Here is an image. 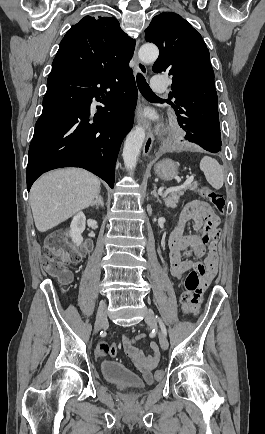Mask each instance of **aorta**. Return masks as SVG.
<instances>
[{
	"mask_svg": "<svg viewBox=\"0 0 265 434\" xmlns=\"http://www.w3.org/2000/svg\"><path fill=\"white\" fill-rule=\"evenodd\" d=\"M139 60L144 64H152L159 56V50L154 44H144L138 52ZM145 138L144 128L136 126L126 138L123 148V160L126 168L134 170Z\"/></svg>",
	"mask_w": 265,
	"mask_h": 434,
	"instance_id": "obj_1",
	"label": "aorta"
}]
</instances>
